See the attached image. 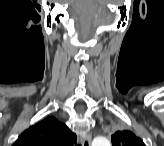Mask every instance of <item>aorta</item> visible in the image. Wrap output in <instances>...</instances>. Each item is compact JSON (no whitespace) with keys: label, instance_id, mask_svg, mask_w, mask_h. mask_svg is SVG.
Instances as JSON below:
<instances>
[{"label":"aorta","instance_id":"1","mask_svg":"<svg viewBox=\"0 0 164 146\" xmlns=\"http://www.w3.org/2000/svg\"><path fill=\"white\" fill-rule=\"evenodd\" d=\"M110 144V141L105 137H96L92 142V146H110Z\"/></svg>","mask_w":164,"mask_h":146}]
</instances>
